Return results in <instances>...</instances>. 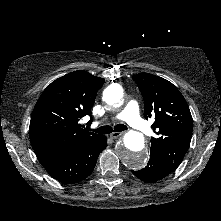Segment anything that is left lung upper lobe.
<instances>
[{"label":"left lung upper lobe","instance_id":"1","mask_svg":"<svg viewBox=\"0 0 221 221\" xmlns=\"http://www.w3.org/2000/svg\"><path fill=\"white\" fill-rule=\"evenodd\" d=\"M144 99V117L155 119L150 156L157 157L174 171L186 154L193 131L188 104L171 82L161 77L139 73L132 77Z\"/></svg>","mask_w":221,"mask_h":221}]
</instances>
